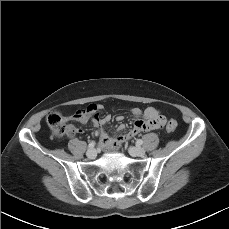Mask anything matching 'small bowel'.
<instances>
[{
  "label": "small bowel",
  "mask_w": 229,
  "mask_h": 229,
  "mask_svg": "<svg viewBox=\"0 0 229 229\" xmlns=\"http://www.w3.org/2000/svg\"><path fill=\"white\" fill-rule=\"evenodd\" d=\"M148 110V109H147ZM147 110L144 112L139 108H133L131 110V114L134 117V124L132 129L118 138H113L106 130V126L110 123L111 117L109 115L100 117L98 115H91V114H84L81 112V110L76 111L73 115H71L69 118L71 120L79 121L80 123H88L89 121L91 124L100 129V145L102 147H108L114 143L120 144L123 143L126 140H129L136 136L140 132H146L149 131L150 128L147 126V123L142 120V118L146 119L147 116ZM124 120V117L122 115L116 116L117 122H122ZM125 126L123 124H120L117 127L118 131L124 130ZM75 132L81 133V128H75L73 126H69L68 128V134H74Z\"/></svg>",
  "instance_id": "1"
}]
</instances>
